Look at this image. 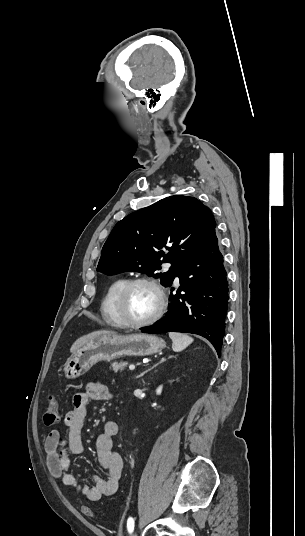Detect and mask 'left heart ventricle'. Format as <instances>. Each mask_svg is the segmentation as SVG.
<instances>
[{
  "instance_id": "obj_1",
  "label": "left heart ventricle",
  "mask_w": 305,
  "mask_h": 536,
  "mask_svg": "<svg viewBox=\"0 0 305 536\" xmlns=\"http://www.w3.org/2000/svg\"><path fill=\"white\" fill-rule=\"evenodd\" d=\"M159 306L156 290L148 284L134 286L125 301L126 318L129 321H140L154 313Z\"/></svg>"
}]
</instances>
